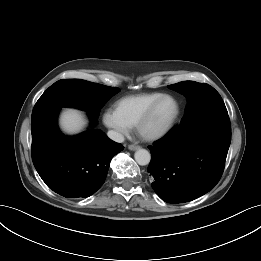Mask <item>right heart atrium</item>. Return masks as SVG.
Segmentation results:
<instances>
[{
	"label": "right heart atrium",
	"mask_w": 261,
	"mask_h": 261,
	"mask_svg": "<svg viewBox=\"0 0 261 261\" xmlns=\"http://www.w3.org/2000/svg\"><path fill=\"white\" fill-rule=\"evenodd\" d=\"M102 119L103 123L118 138L126 137L131 131L132 127L124 121L114 109H106L103 113Z\"/></svg>",
	"instance_id": "right-heart-atrium-1"
}]
</instances>
